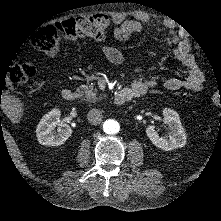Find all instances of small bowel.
Masks as SVG:
<instances>
[{
    "instance_id": "small-bowel-1",
    "label": "small bowel",
    "mask_w": 221,
    "mask_h": 221,
    "mask_svg": "<svg viewBox=\"0 0 221 221\" xmlns=\"http://www.w3.org/2000/svg\"><path fill=\"white\" fill-rule=\"evenodd\" d=\"M128 15L123 13H116L112 17L114 24L113 36L118 41H126L135 33L144 29V25L151 21L148 14L143 12H134L131 15L132 20H127ZM169 47L172 55L177 59L182 66L188 71L185 78H168L164 81V87L168 90L175 91L179 89H188L193 92H198L202 89L204 76L197 64L195 58L191 54V45L189 41H179L176 34L171 33L165 41ZM102 54L113 64L121 65L124 62L123 53L115 47L103 46L101 48ZM156 55L153 49L147 51L149 59ZM158 80L155 78H136L132 77L130 86L127 89L133 97H139L147 91L148 88L158 85Z\"/></svg>"
}]
</instances>
